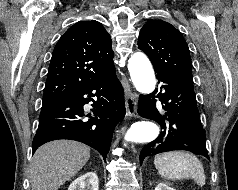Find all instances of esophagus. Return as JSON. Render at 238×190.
Returning <instances> with one entry per match:
<instances>
[{
  "label": "esophagus",
  "mask_w": 238,
  "mask_h": 190,
  "mask_svg": "<svg viewBox=\"0 0 238 190\" xmlns=\"http://www.w3.org/2000/svg\"><path fill=\"white\" fill-rule=\"evenodd\" d=\"M126 115L130 117L137 116L138 96L136 93L126 94L125 99Z\"/></svg>",
  "instance_id": "34e87169"
}]
</instances>
